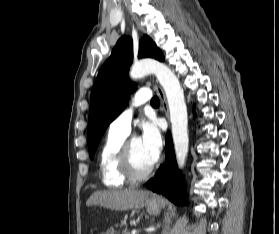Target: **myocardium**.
Returning <instances> with one entry per match:
<instances>
[{
  "instance_id": "1",
  "label": "myocardium",
  "mask_w": 279,
  "mask_h": 234,
  "mask_svg": "<svg viewBox=\"0 0 279 234\" xmlns=\"http://www.w3.org/2000/svg\"><path fill=\"white\" fill-rule=\"evenodd\" d=\"M131 139L132 138L125 139L121 145L119 168L128 181H140L152 173L157 164V160H154V162L144 170L137 169L133 161Z\"/></svg>"
}]
</instances>
